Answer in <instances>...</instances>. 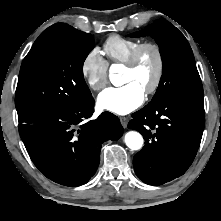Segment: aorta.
I'll return each instance as SVG.
<instances>
[{
    "label": "aorta",
    "mask_w": 221,
    "mask_h": 221,
    "mask_svg": "<svg viewBox=\"0 0 221 221\" xmlns=\"http://www.w3.org/2000/svg\"><path fill=\"white\" fill-rule=\"evenodd\" d=\"M119 70L118 65H112L110 67L109 78L112 84L118 85L120 83L119 75L117 74ZM124 141L131 150H140L143 146V137L140 133L136 131H129L125 134Z\"/></svg>",
    "instance_id": "762f6f07"
}]
</instances>
